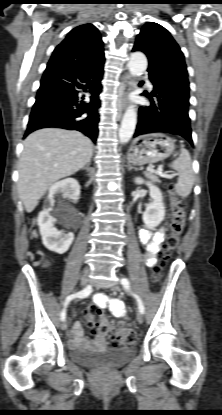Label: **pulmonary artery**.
<instances>
[{
    "label": "pulmonary artery",
    "mask_w": 222,
    "mask_h": 415,
    "mask_svg": "<svg viewBox=\"0 0 222 415\" xmlns=\"http://www.w3.org/2000/svg\"><path fill=\"white\" fill-rule=\"evenodd\" d=\"M147 86H148V88H151L152 87V85H151L150 82H147Z\"/></svg>",
    "instance_id": "e3ab8cb5"
}]
</instances>
